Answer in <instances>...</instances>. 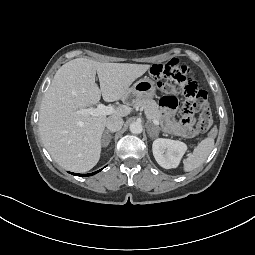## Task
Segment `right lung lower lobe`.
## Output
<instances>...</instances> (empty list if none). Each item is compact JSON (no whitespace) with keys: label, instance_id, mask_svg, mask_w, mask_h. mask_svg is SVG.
<instances>
[{"label":"right lung lower lobe","instance_id":"obj_1","mask_svg":"<svg viewBox=\"0 0 255 255\" xmlns=\"http://www.w3.org/2000/svg\"><path fill=\"white\" fill-rule=\"evenodd\" d=\"M101 170H99V171H101ZM99 171H96V172H93V173H89V174H76V173H71V174H74V175H77V176H91V175H94V174L98 173Z\"/></svg>","mask_w":255,"mask_h":255}]
</instances>
